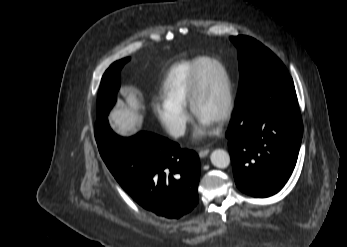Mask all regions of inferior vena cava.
Instances as JSON below:
<instances>
[{"mask_svg":"<svg viewBox=\"0 0 347 247\" xmlns=\"http://www.w3.org/2000/svg\"><path fill=\"white\" fill-rule=\"evenodd\" d=\"M185 123H174L169 126V133L174 137H180L185 134Z\"/></svg>","mask_w":347,"mask_h":247,"instance_id":"1","label":"inferior vena cava"}]
</instances>
